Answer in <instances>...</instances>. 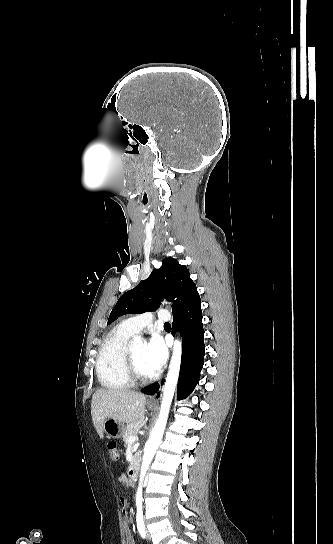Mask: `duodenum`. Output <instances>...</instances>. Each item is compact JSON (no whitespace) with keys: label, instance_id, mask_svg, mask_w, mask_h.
I'll return each mask as SVG.
<instances>
[{"label":"duodenum","instance_id":"obj_1","mask_svg":"<svg viewBox=\"0 0 333 544\" xmlns=\"http://www.w3.org/2000/svg\"><path fill=\"white\" fill-rule=\"evenodd\" d=\"M138 473H139V465L134 462L129 466L128 475L131 479H136V477L138 476Z\"/></svg>","mask_w":333,"mask_h":544}]
</instances>
